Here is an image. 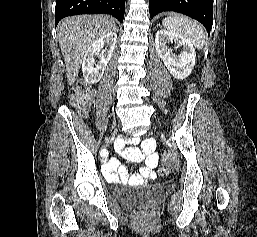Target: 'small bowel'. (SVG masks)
<instances>
[{"mask_svg": "<svg viewBox=\"0 0 257 237\" xmlns=\"http://www.w3.org/2000/svg\"><path fill=\"white\" fill-rule=\"evenodd\" d=\"M130 142L133 144L140 143V148L124 149L122 143H120L117 145L118 151L131 160H144L145 165L140 169L139 174H135L130 172L124 165H121L116 158H112L103 166V174L109 181L137 183L155 177V169L158 165V155L155 153V141L151 138L141 140L138 137H134L130 139Z\"/></svg>", "mask_w": 257, "mask_h": 237, "instance_id": "c3829d8e", "label": "small bowel"}]
</instances>
